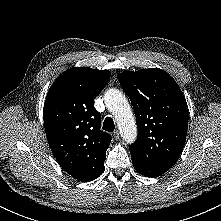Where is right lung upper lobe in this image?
I'll list each match as a JSON object with an SVG mask.
<instances>
[{"mask_svg":"<svg viewBox=\"0 0 221 221\" xmlns=\"http://www.w3.org/2000/svg\"><path fill=\"white\" fill-rule=\"evenodd\" d=\"M110 76L107 70L74 67L55 80L46 97L43 117L51 151L79 181H91L104 171L111 136L100 130L94 99Z\"/></svg>","mask_w":221,"mask_h":221,"instance_id":"1","label":"right lung upper lobe"}]
</instances>
